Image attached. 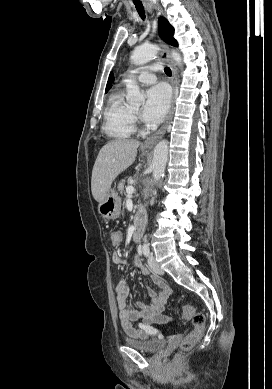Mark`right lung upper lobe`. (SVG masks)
<instances>
[{"label":"right lung upper lobe","instance_id":"obj_1","mask_svg":"<svg viewBox=\"0 0 272 389\" xmlns=\"http://www.w3.org/2000/svg\"><path fill=\"white\" fill-rule=\"evenodd\" d=\"M113 81H114V76L113 73H111L107 82L106 92L109 91V89L111 88Z\"/></svg>","mask_w":272,"mask_h":389}]
</instances>
